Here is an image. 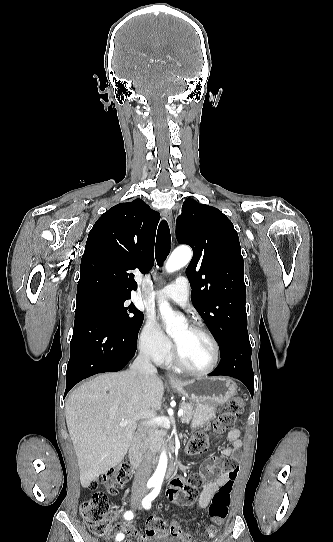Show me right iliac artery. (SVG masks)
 I'll use <instances>...</instances> for the list:
<instances>
[{"instance_id":"obj_1","label":"right iliac artery","mask_w":333,"mask_h":542,"mask_svg":"<svg viewBox=\"0 0 333 542\" xmlns=\"http://www.w3.org/2000/svg\"><path fill=\"white\" fill-rule=\"evenodd\" d=\"M154 485H155L154 483H148V484H147V487H148V488H152ZM147 497H148V496H147ZM144 499H145V498H144ZM144 499H143V500H144ZM142 502H143V501H142ZM124 518L127 519V520L132 519V518H133V513H132V511H127V512L124 514ZM123 538H124V534L120 533V534L117 535L116 540H117V541H120V540H122Z\"/></svg>"}]
</instances>
